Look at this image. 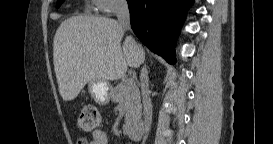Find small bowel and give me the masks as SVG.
Masks as SVG:
<instances>
[{
    "label": "small bowel",
    "instance_id": "small-bowel-1",
    "mask_svg": "<svg viewBox=\"0 0 273 144\" xmlns=\"http://www.w3.org/2000/svg\"><path fill=\"white\" fill-rule=\"evenodd\" d=\"M108 138L105 132L95 131L92 133V139L89 141L87 138H79L77 144H107Z\"/></svg>",
    "mask_w": 273,
    "mask_h": 144
}]
</instances>
